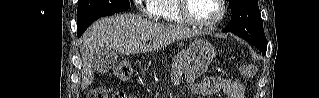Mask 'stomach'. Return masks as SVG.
<instances>
[{
    "instance_id": "obj_1",
    "label": "stomach",
    "mask_w": 319,
    "mask_h": 98,
    "mask_svg": "<svg viewBox=\"0 0 319 98\" xmlns=\"http://www.w3.org/2000/svg\"><path fill=\"white\" fill-rule=\"evenodd\" d=\"M214 57V48L206 40L195 39L182 55L183 69L187 83L196 90V79L206 72Z\"/></svg>"
}]
</instances>
